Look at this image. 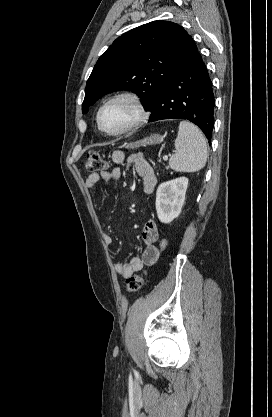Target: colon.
Segmentation results:
<instances>
[{"mask_svg":"<svg viewBox=\"0 0 272 417\" xmlns=\"http://www.w3.org/2000/svg\"><path fill=\"white\" fill-rule=\"evenodd\" d=\"M85 168L87 171L89 172H104L107 170L108 168V162L107 160L101 156L98 152L96 151H91L87 154L86 157V161H85ZM168 245V240L167 239H161L157 244H156V249L159 252H162L166 249ZM144 275H132L131 277L127 278L126 280V291L130 292V293H134L137 292L141 289V287L143 286L144 283Z\"/></svg>","mask_w":272,"mask_h":417,"instance_id":"obj_1","label":"colon"}]
</instances>
